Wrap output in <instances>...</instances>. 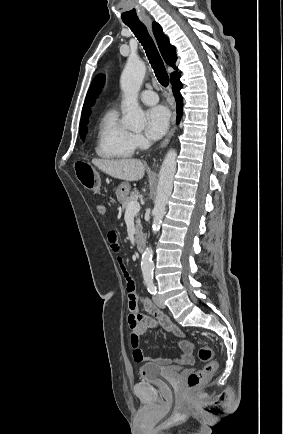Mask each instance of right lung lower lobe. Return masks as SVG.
I'll return each mask as SVG.
<instances>
[{"label":"right lung lower lobe","mask_w":283,"mask_h":434,"mask_svg":"<svg viewBox=\"0 0 283 434\" xmlns=\"http://www.w3.org/2000/svg\"><path fill=\"white\" fill-rule=\"evenodd\" d=\"M180 76L181 75L178 72V74H176L170 78V81L172 84V91H173V94L175 96L176 103H177V123L180 121V118L182 117V108H183L182 100H181V97L179 95V91L182 87L181 81H180Z\"/></svg>","instance_id":"1"}]
</instances>
